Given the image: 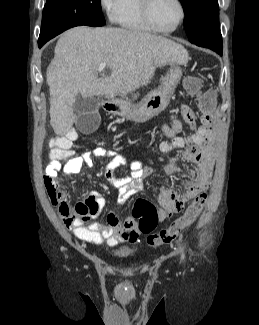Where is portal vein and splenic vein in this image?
<instances>
[{
	"label": "portal vein and splenic vein",
	"mask_w": 259,
	"mask_h": 325,
	"mask_svg": "<svg viewBox=\"0 0 259 325\" xmlns=\"http://www.w3.org/2000/svg\"><path fill=\"white\" fill-rule=\"evenodd\" d=\"M106 67V63H100L99 67H98V72H102L104 70V68Z\"/></svg>",
	"instance_id": "18ae733b"
}]
</instances>
